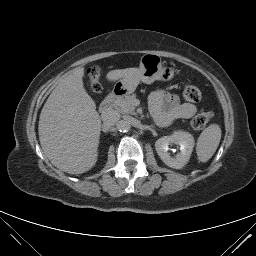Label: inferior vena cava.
I'll return each instance as SVG.
<instances>
[{"label":"inferior vena cava","instance_id":"obj_1","mask_svg":"<svg viewBox=\"0 0 256 256\" xmlns=\"http://www.w3.org/2000/svg\"><path fill=\"white\" fill-rule=\"evenodd\" d=\"M103 126L107 129L113 127L120 120V114L113 109H109L102 114Z\"/></svg>","mask_w":256,"mask_h":256}]
</instances>
